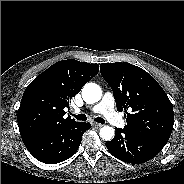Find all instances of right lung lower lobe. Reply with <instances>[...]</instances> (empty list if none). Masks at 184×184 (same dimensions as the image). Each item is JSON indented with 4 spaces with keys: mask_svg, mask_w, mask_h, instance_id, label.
Returning a JSON list of instances; mask_svg holds the SVG:
<instances>
[{
    "mask_svg": "<svg viewBox=\"0 0 184 184\" xmlns=\"http://www.w3.org/2000/svg\"><path fill=\"white\" fill-rule=\"evenodd\" d=\"M90 127V123L74 122L64 128L45 132L23 142L37 160L47 164H56L76 153L83 133Z\"/></svg>",
    "mask_w": 184,
    "mask_h": 184,
    "instance_id": "1",
    "label": "right lung lower lobe"
}]
</instances>
